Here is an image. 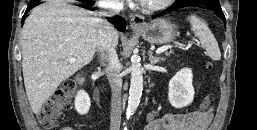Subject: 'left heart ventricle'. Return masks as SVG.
Returning <instances> with one entry per match:
<instances>
[{
  "mask_svg": "<svg viewBox=\"0 0 257 130\" xmlns=\"http://www.w3.org/2000/svg\"><path fill=\"white\" fill-rule=\"evenodd\" d=\"M160 0H145L146 3H155V2H158Z\"/></svg>",
  "mask_w": 257,
  "mask_h": 130,
  "instance_id": "1",
  "label": "left heart ventricle"
}]
</instances>
